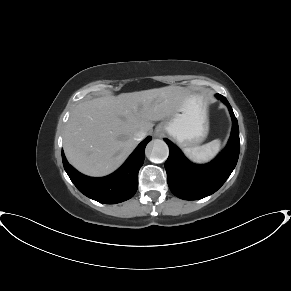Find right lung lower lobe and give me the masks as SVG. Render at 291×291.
Wrapping results in <instances>:
<instances>
[{"label":"right lung lower lobe","mask_w":291,"mask_h":291,"mask_svg":"<svg viewBox=\"0 0 291 291\" xmlns=\"http://www.w3.org/2000/svg\"><path fill=\"white\" fill-rule=\"evenodd\" d=\"M151 140H143L126 162L114 173L92 178L79 173L66 160L62 151L65 171L77 189L85 196L105 204H115L130 199L138 188V172L144 162L145 147Z\"/></svg>","instance_id":"98d812e1"}]
</instances>
